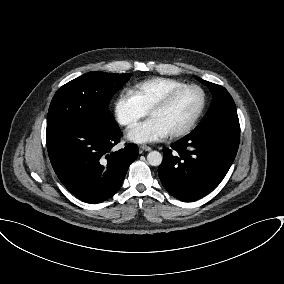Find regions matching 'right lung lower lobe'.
Instances as JSON below:
<instances>
[{
  "label": "right lung lower lobe",
  "mask_w": 284,
  "mask_h": 284,
  "mask_svg": "<svg viewBox=\"0 0 284 284\" xmlns=\"http://www.w3.org/2000/svg\"><path fill=\"white\" fill-rule=\"evenodd\" d=\"M120 137L118 126L114 130L70 127L47 136V150L54 171L74 196L95 204L118 191L138 155L135 144L113 151Z\"/></svg>",
  "instance_id": "98d812e1"
}]
</instances>
